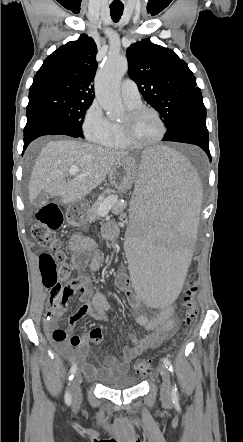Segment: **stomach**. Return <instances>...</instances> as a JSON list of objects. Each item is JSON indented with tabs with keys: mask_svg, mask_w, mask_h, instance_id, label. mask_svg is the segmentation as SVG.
<instances>
[{
	"mask_svg": "<svg viewBox=\"0 0 243 442\" xmlns=\"http://www.w3.org/2000/svg\"><path fill=\"white\" fill-rule=\"evenodd\" d=\"M136 165L135 160L130 157L116 163L109 173L110 184L120 192H127L137 175ZM66 220L72 226H83L87 221V211L81 208V203H74L67 209Z\"/></svg>",
	"mask_w": 243,
	"mask_h": 442,
	"instance_id": "obj_1",
	"label": "stomach"
}]
</instances>
